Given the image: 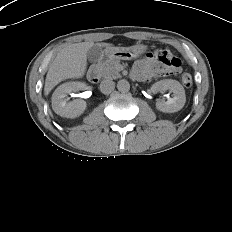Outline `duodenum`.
I'll list each match as a JSON object with an SVG mask.
<instances>
[{"label":"duodenum","mask_w":232,"mask_h":232,"mask_svg":"<svg viewBox=\"0 0 232 232\" xmlns=\"http://www.w3.org/2000/svg\"><path fill=\"white\" fill-rule=\"evenodd\" d=\"M99 74L100 70L98 64L91 65L87 71L88 80L92 83H96L99 80Z\"/></svg>","instance_id":"410a0bca"}]
</instances>
